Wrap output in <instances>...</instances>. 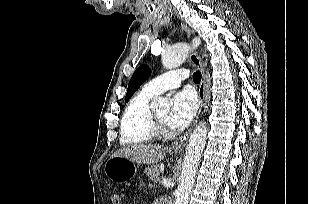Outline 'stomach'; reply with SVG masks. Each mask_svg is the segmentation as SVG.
<instances>
[{
    "label": "stomach",
    "instance_id": "stomach-1",
    "mask_svg": "<svg viewBox=\"0 0 309 204\" xmlns=\"http://www.w3.org/2000/svg\"><path fill=\"white\" fill-rule=\"evenodd\" d=\"M137 165L125 157L112 156L105 164L106 176L116 182L128 181L137 173Z\"/></svg>",
    "mask_w": 309,
    "mask_h": 204
}]
</instances>
